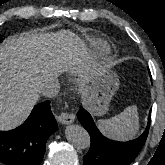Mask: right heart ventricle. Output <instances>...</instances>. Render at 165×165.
<instances>
[{
    "label": "right heart ventricle",
    "mask_w": 165,
    "mask_h": 165,
    "mask_svg": "<svg viewBox=\"0 0 165 165\" xmlns=\"http://www.w3.org/2000/svg\"><path fill=\"white\" fill-rule=\"evenodd\" d=\"M100 46H101L102 48H105V46H104V45H102V44H101Z\"/></svg>",
    "instance_id": "right-heart-ventricle-1"
}]
</instances>
